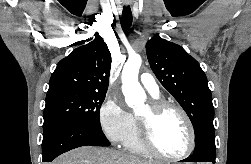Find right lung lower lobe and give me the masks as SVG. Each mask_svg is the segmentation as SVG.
<instances>
[{
  "instance_id": "obj_1",
  "label": "right lung lower lobe",
  "mask_w": 251,
  "mask_h": 164,
  "mask_svg": "<svg viewBox=\"0 0 251 164\" xmlns=\"http://www.w3.org/2000/svg\"><path fill=\"white\" fill-rule=\"evenodd\" d=\"M43 162H51L57 156L81 146H109L101 128L86 124L55 121L43 125Z\"/></svg>"
}]
</instances>
